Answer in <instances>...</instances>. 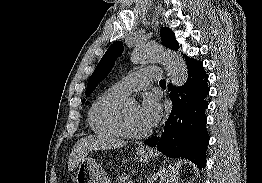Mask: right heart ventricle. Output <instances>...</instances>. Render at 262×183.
<instances>
[{
    "mask_svg": "<svg viewBox=\"0 0 262 183\" xmlns=\"http://www.w3.org/2000/svg\"><path fill=\"white\" fill-rule=\"evenodd\" d=\"M126 96L113 88L101 94L88 112V124L97 135L108 138H121L118 115Z\"/></svg>",
    "mask_w": 262,
    "mask_h": 183,
    "instance_id": "obj_1",
    "label": "right heart ventricle"
}]
</instances>
